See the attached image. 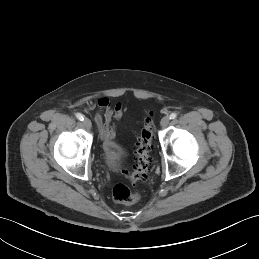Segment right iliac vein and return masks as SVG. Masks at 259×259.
Wrapping results in <instances>:
<instances>
[{
	"mask_svg": "<svg viewBox=\"0 0 259 259\" xmlns=\"http://www.w3.org/2000/svg\"><path fill=\"white\" fill-rule=\"evenodd\" d=\"M83 124H84V126H85L87 129H91V127H92V123H91V121H90L88 118H85V119L83 120Z\"/></svg>",
	"mask_w": 259,
	"mask_h": 259,
	"instance_id": "63e3f726",
	"label": "right iliac vein"
}]
</instances>
